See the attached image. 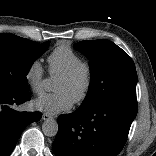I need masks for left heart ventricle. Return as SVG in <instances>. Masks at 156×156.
I'll use <instances>...</instances> for the list:
<instances>
[{"instance_id":"left-heart-ventricle-1","label":"left heart ventricle","mask_w":156,"mask_h":156,"mask_svg":"<svg viewBox=\"0 0 156 156\" xmlns=\"http://www.w3.org/2000/svg\"><path fill=\"white\" fill-rule=\"evenodd\" d=\"M81 87L82 79H77L76 81H66L58 78L54 87V91L63 92L73 100L78 95Z\"/></svg>"}]
</instances>
